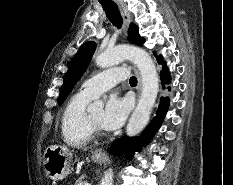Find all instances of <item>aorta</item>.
Here are the masks:
<instances>
[{
    "mask_svg": "<svg viewBox=\"0 0 233 185\" xmlns=\"http://www.w3.org/2000/svg\"><path fill=\"white\" fill-rule=\"evenodd\" d=\"M124 60H130L137 66L142 79L141 96L126 128V134L131 137L140 133L150 119L159 91V78L151 56L138 47L120 45L98 53L95 61L98 67L107 68ZM103 107L104 103L98 100L90 104L88 110L95 111ZM100 185H113L112 169L104 175Z\"/></svg>",
    "mask_w": 233,
    "mask_h": 185,
    "instance_id": "1",
    "label": "aorta"
}]
</instances>
